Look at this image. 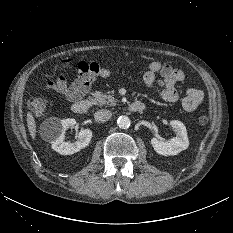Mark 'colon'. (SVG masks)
Returning <instances> with one entry per match:
<instances>
[{
	"instance_id": "colon-1",
	"label": "colon",
	"mask_w": 233,
	"mask_h": 233,
	"mask_svg": "<svg viewBox=\"0 0 233 233\" xmlns=\"http://www.w3.org/2000/svg\"><path fill=\"white\" fill-rule=\"evenodd\" d=\"M72 64V59H65L60 62L62 67H69ZM27 107L35 115H43L48 107V101L44 98H33L27 102ZM209 122V117L202 115L199 117V123L206 125Z\"/></svg>"
}]
</instances>
